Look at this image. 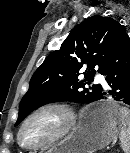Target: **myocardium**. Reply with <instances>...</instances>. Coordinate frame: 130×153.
<instances>
[{"mask_svg": "<svg viewBox=\"0 0 130 153\" xmlns=\"http://www.w3.org/2000/svg\"><path fill=\"white\" fill-rule=\"evenodd\" d=\"M57 111L59 112L64 119L63 126L60 129L58 133H56L54 136H52L50 139H48L45 142H42L40 144L36 145H28L25 144L22 141V134L26 127V125L38 114L45 112V111ZM77 122V113L75 112L74 108L64 102H48L45 104H42L35 108L33 111H31L22 121L18 133H17V139L20 146L24 149L28 150H38L42 149L48 146H51L61 140H63L65 137H67L70 132L73 130Z\"/></svg>", "mask_w": 130, "mask_h": 153, "instance_id": "1", "label": "myocardium"}]
</instances>
